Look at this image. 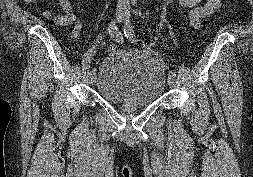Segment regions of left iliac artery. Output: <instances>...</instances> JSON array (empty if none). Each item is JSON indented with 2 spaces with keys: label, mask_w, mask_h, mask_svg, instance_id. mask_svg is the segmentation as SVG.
<instances>
[{
  "label": "left iliac artery",
  "mask_w": 253,
  "mask_h": 177,
  "mask_svg": "<svg viewBox=\"0 0 253 177\" xmlns=\"http://www.w3.org/2000/svg\"><path fill=\"white\" fill-rule=\"evenodd\" d=\"M124 35L127 37V39H129L132 43H137L138 39L137 36L133 30V27L131 26V24H125L124 27ZM168 76L175 78L176 77V73L173 71H169Z\"/></svg>",
  "instance_id": "1"
}]
</instances>
